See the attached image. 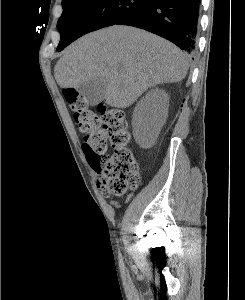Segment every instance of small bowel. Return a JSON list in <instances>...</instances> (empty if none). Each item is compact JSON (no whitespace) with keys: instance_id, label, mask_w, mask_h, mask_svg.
Segmentation results:
<instances>
[{"instance_id":"obj_1","label":"small bowel","mask_w":245,"mask_h":300,"mask_svg":"<svg viewBox=\"0 0 245 300\" xmlns=\"http://www.w3.org/2000/svg\"><path fill=\"white\" fill-rule=\"evenodd\" d=\"M132 197V195H128L127 200H129Z\"/></svg>"}]
</instances>
